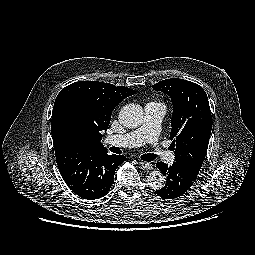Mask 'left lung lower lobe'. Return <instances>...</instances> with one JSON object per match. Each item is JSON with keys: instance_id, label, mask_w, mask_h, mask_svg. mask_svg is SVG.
<instances>
[{"instance_id": "1", "label": "left lung lower lobe", "mask_w": 255, "mask_h": 255, "mask_svg": "<svg viewBox=\"0 0 255 255\" xmlns=\"http://www.w3.org/2000/svg\"><path fill=\"white\" fill-rule=\"evenodd\" d=\"M156 166L167 177L166 185L156 191V194L164 199H175L183 195L199 173L193 166L180 161L173 162L172 166L158 162Z\"/></svg>"}]
</instances>
